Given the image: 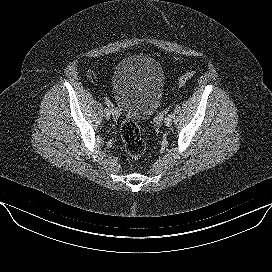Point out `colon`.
Wrapping results in <instances>:
<instances>
[{
    "instance_id": "obj_1",
    "label": "colon",
    "mask_w": 272,
    "mask_h": 272,
    "mask_svg": "<svg viewBox=\"0 0 272 272\" xmlns=\"http://www.w3.org/2000/svg\"><path fill=\"white\" fill-rule=\"evenodd\" d=\"M194 71L187 72L181 76L177 82L179 86H184L193 76ZM93 77V75H90ZM121 138L125 152L134 160L140 159L146 152V142L141 136L137 124L132 120H125L121 126Z\"/></svg>"
}]
</instances>
